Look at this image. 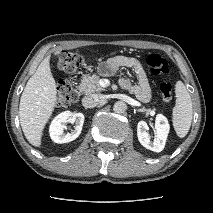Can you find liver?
I'll use <instances>...</instances> for the list:
<instances>
[{
	"label": "liver",
	"instance_id": "6515ba94",
	"mask_svg": "<svg viewBox=\"0 0 213 213\" xmlns=\"http://www.w3.org/2000/svg\"><path fill=\"white\" fill-rule=\"evenodd\" d=\"M57 89L46 57L28 80L21 95L19 118L23 133L30 144L41 146L43 129L57 101Z\"/></svg>",
	"mask_w": 213,
	"mask_h": 213
}]
</instances>
